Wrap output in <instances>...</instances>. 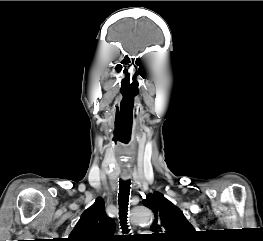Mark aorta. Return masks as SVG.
Instances as JSON below:
<instances>
[{
    "label": "aorta",
    "instance_id": "aorta-1",
    "mask_svg": "<svg viewBox=\"0 0 263 241\" xmlns=\"http://www.w3.org/2000/svg\"><path fill=\"white\" fill-rule=\"evenodd\" d=\"M131 222L133 224H145L149 225L153 221L152 211L144 206L134 207L130 214Z\"/></svg>",
    "mask_w": 263,
    "mask_h": 241
}]
</instances>
